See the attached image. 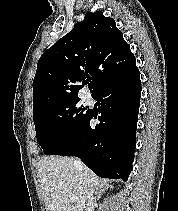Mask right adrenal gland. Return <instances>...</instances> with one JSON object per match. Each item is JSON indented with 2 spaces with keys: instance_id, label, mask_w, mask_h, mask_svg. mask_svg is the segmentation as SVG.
Instances as JSON below:
<instances>
[{
  "instance_id": "obj_1",
  "label": "right adrenal gland",
  "mask_w": 178,
  "mask_h": 211,
  "mask_svg": "<svg viewBox=\"0 0 178 211\" xmlns=\"http://www.w3.org/2000/svg\"><path fill=\"white\" fill-rule=\"evenodd\" d=\"M109 188H113V187L110 186L109 184H106V185L104 186V188H102L100 191H98L97 200H99V198H100L101 195L105 192V190H108Z\"/></svg>"
}]
</instances>
